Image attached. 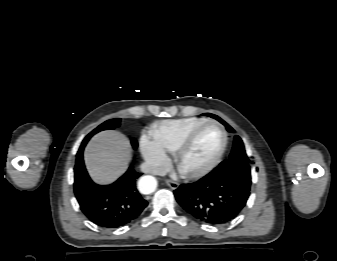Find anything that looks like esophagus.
Masks as SVG:
<instances>
[{"instance_id":"34e87169","label":"esophagus","mask_w":337,"mask_h":261,"mask_svg":"<svg viewBox=\"0 0 337 261\" xmlns=\"http://www.w3.org/2000/svg\"><path fill=\"white\" fill-rule=\"evenodd\" d=\"M166 184L173 190L179 187V183L171 181V180H166Z\"/></svg>"}]
</instances>
